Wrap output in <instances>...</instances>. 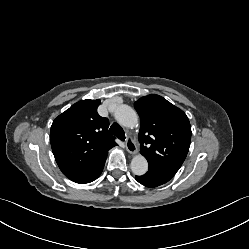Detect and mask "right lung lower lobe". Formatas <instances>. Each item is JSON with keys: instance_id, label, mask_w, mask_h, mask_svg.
<instances>
[{"instance_id": "1", "label": "right lung lower lobe", "mask_w": 249, "mask_h": 249, "mask_svg": "<svg viewBox=\"0 0 249 249\" xmlns=\"http://www.w3.org/2000/svg\"><path fill=\"white\" fill-rule=\"evenodd\" d=\"M103 167H104V165H103ZM103 167H102V169L99 171V173L97 174L96 178L101 174V172H102V170H103ZM96 178H95V179H96Z\"/></svg>"}]
</instances>
